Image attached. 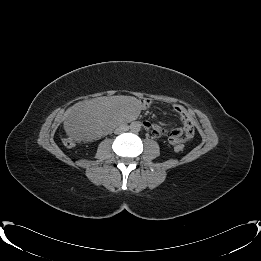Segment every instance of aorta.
I'll use <instances>...</instances> for the list:
<instances>
[{
    "mask_svg": "<svg viewBox=\"0 0 261 261\" xmlns=\"http://www.w3.org/2000/svg\"><path fill=\"white\" fill-rule=\"evenodd\" d=\"M132 128H133V130L138 131L140 127L138 124H133Z\"/></svg>",
    "mask_w": 261,
    "mask_h": 261,
    "instance_id": "1",
    "label": "aorta"
}]
</instances>
